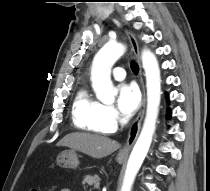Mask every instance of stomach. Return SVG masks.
I'll use <instances>...</instances> for the list:
<instances>
[{
    "mask_svg": "<svg viewBox=\"0 0 210 191\" xmlns=\"http://www.w3.org/2000/svg\"><path fill=\"white\" fill-rule=\"evenodd\" d=\"M57 165L62 168H70L74 169L77 168L79 165V160L77 154L74 150H66L60 153L56 159ZM117 162L123 163L124 158L118 156Z\"/></svg>",
    "mask_w": 210,
    "mask_h": 191,
    "instance_id": "stomach-1",
    "label": "stomach"
}]
</instances>
